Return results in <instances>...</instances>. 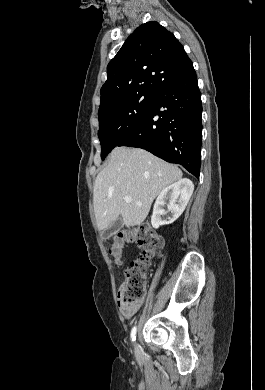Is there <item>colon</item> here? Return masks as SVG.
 <instances>
[{
  "mask_svg": "<svg viewBox=\"0 0 265 390\" xmlns=\"http://www.w3.org/2000/svg\"><path fill=\"white\" fill-rule=\"evenodd\" d=\"M134 242L141 253L125 271L119 294L121 303L131 305L145 297L147 290V270L160 251L163 240L149 225L141 224L129 231H121L113 241L110 252L116 260L120 259L125 244Z\"/></svg>",
  "mask_w": 265,
  "mask_h": 390,
  "instance_id": "5ec220e1",
  "label": "colon"
}]
</instances>
